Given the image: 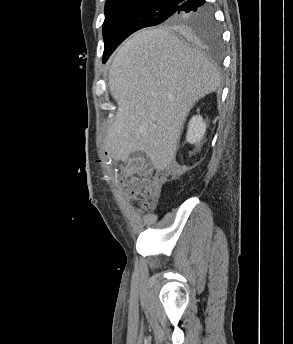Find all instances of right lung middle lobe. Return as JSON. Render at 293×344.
<instances>
[{"label":"right lung middle lobe","instance_id":"1","mask_svg":"<svg viewBox=\"0 0 293 344\" xmlns=\"http://www.w3.org/2000/svg\"><path fill=\"white\" fill-rule=\"evenodd\" d=\"M179 4L163 1H129L105 4L103 62L133 32L162 22L188 39L211 49L220 47V31L211 9L196 13H177Z\"/></svg>","mask_w":293,"mask_h":344}]
</instances>
